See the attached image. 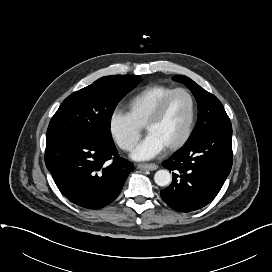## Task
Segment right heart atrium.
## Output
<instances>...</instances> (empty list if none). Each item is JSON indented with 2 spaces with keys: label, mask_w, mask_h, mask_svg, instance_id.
Returning <instances> with one entry per match:
<instances>
[{
  "label": "right heart atrium",
  "mask_w": 272,
  "mask_h": 272,
  "mask_svg": "<svg viewBox=\"0 0 272 272\" xmlns=\"http://www.w3.org/2000/svg\"><path fill=\"white\" fill-rule=\"evenodd\" d=\"M108 131L119 148L131 151L140 138L142 127L127 112L115 109L108 119Z\"/></svg>",
  "instance_id": "1"
}]
</instances>
